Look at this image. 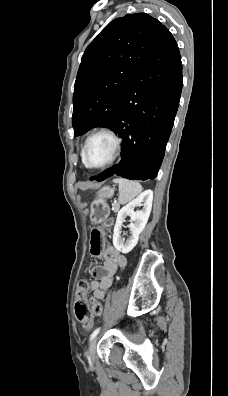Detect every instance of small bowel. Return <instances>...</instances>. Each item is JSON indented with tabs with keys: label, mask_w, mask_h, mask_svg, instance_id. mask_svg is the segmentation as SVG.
I'll return each mask as SVG.
<instances>
[{
	"label": "small bowel",
	"mask_w": 228,
	"mask_h": 396,
	"mask_svg": "<svg viewBox=\"0 0 228 396\" xmlns=\"http://www.w3.org/2000/svg\"><path fill=\"white\" fill-rule=\"evenodd\" d=\"M103 259V264L92 270L94 279L89 284V291L97 300L105 298L106 291L112 285L115 276L127 265L125 256L111 245L106 246Z\"/></svg>",
	"instance_id": "1"
}]
</instances>
